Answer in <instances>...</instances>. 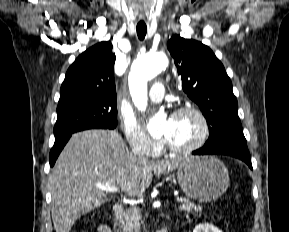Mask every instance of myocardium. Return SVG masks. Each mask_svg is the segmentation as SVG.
I'll list each match as a JSON object with an SVG mask.
<instances>
[{
  "instance_id": "1",
  "label": "myocardium",
  "mask_w": 289,
  "mask_h": 232,
  "mask_svg": "<svg viewBox=\"0 0 289 232\" xmlns=\"http://www.w3.org/2000/svg\"><path fill=\"white\" fill-rule=\"evenodd\" d=\"M183 113H192L199 119L201 124V135L196 142L184 147L175 146L171 144L167 139H165L164 142L166 148L171 153L175 154H188L200 149L207 142L210 135L209 121L204 112L200 108H198L195 105H183L173 111L172 117L181 115Z\"/></svg>"
}]
</instances>
